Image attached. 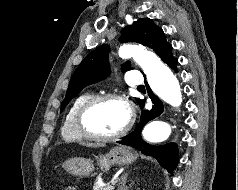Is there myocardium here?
Instances as JSON below:
<instances>
[{"instance_id":"obj_1","label":"myocardium","mask_w":238,"mask_h":190,"mask_svg":"<svg viewBox=\"0 0 238 190\" xmlns=\"http://www.w3.org/2000/svg\"><path fill=\"white\" fill-rule=\"evenodd\" d=\"M106 100H117L125 105L128 110V120L124 127L113 134H99L90 130L86 124V117L88 113L99 103ZM135 119L134 110L131 103L126 96L116 93L108 92L100 95L92 96L79 109L76 116V127L79 133L86 139L94 141H113L124 136L132 128Z\"/></svg>"}]
</instances>
